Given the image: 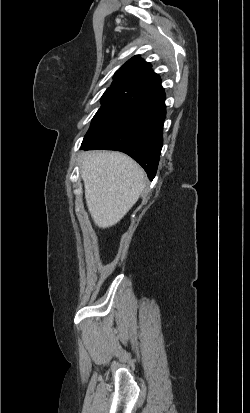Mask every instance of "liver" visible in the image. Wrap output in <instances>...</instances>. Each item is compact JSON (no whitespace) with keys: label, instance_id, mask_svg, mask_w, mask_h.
<instances>
[{"label":"liver","instance_id":"liver-1","mask_svg":"<svg viewBox=\"0 0 250 413\" xmlns=\"http://www.w3.org/2000/svg\"><path fill=\"white\" fill-rule=\"evenodd\" d=\"M81 178L88 211L99 228L117 224L145 188L144 170L120 152L83 153Z\"/></svg>","mask_w":250,"mask_h":413}]
</instances>
